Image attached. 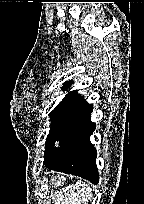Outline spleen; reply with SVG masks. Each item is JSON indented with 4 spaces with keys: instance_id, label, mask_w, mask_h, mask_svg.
Returning <instances> with one entry per match:
<instances>
[{
    "instance_id": "3e777b00",
    "label": "spleen",
    "mask_w": 144,
    "mask_h": 204,
    "mask_svg": "<svg viewBox=\"0 0 144 204\" xmlns=\"http://www.w3.org/2000/svg\"><path fill=\"white\" fill-rule=\"evenodd\" d=\"M90 192L87 183L77 181L75 185H71L57 195L55 204H87L92 197Z\"/></svg>"
}]
</instances>
